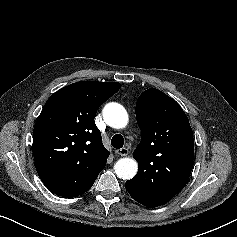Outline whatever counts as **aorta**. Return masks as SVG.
<instances>
[{
	"label": "aorta",
	"mask_w": 237,
	"mask_h": 237,
	"mask_svg": "<svg viewBox=\"0 0 237 237\" xmlns=\"http://www.w3.org/2000/svg\"><path fill=\"white\" fill-rule=\"evenodd\" d=\"M105 122L116 129L124 128L128 123V114L126 109L119 103L111 102L105 105L103 109ZM138 170L137 162L132 158L119 159L114 165V171L117 177L123 180L133 178Z\"/></svg>",
	"instance_id": "aorta-1"
}]
</instances>
